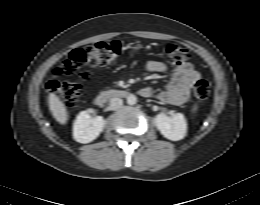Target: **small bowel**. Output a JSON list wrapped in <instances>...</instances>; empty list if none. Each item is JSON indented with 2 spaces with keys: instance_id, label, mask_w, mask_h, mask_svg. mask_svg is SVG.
Segmentation results:
<instances>
[{
  "instance_id": "small-bowel-1",
  "label": "small bowel",
  "mask_w": 260,
  "mask_h": 205,
  "mask_svg": "<svg viewBox=\"0 0 260 205\" xmlns=\"http://www.w3.org/2000/svg\"><path fill=\"white\" fill-rule=\"evenodd\" d=\"M146 69L150 73L163 74L168 71V66L162 61L151 60L146 64ZM200 78V73L191 63H181L173 69L166 87L157 94V97L164 104L181 106L189 100L191 90ZM140 94L148 97L152 94V89L144 87L140 90Z\"/></svg>"
}]
</instances>
